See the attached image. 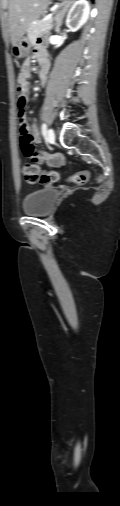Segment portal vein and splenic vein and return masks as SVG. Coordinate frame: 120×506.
<instances>
[{"label":"portal vein and splenic vein","mask_w":120,"mask_h":506,"mask_svg":"<svg viewBox=\"0 0 120 506\" xmlns=\"http://www.w3.org/2000/svg\"><path fill=\"white\" fill-rule=\"evenodd\" d=\"M51 20H52V14L45 17L42 21L45 22V21H51Z\"/></svg>","instance_id":"obj_1"}]
</instances>
